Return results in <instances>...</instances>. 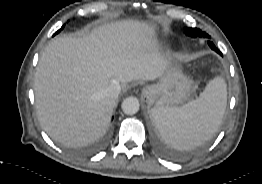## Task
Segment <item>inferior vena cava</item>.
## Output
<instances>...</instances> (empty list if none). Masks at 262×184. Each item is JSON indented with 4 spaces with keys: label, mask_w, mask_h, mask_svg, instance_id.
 <instances>
[{
    "label": "inferior vena cava",
    "mask_w": 262,
    "mask_h": 184,
    "mask_svg": "<svg viewBox=\"0 0 262 184\" xmlns=\"http://www.w3.org/2000/svg\"><path fill=\"white\" fill-rule=\"evenodd\" d=\"M121 92L119 83H113L106 89V95L110 98L116 99Z\"/></svg>",
    "instance_id": "obj_1"
}]
</instances>
